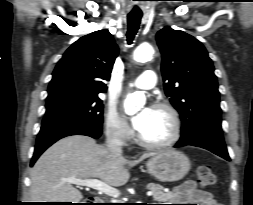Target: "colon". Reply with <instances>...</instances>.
<instances>
[{
	"label": "colon",
	"instance_id": "5ec220e1",
	"mask_svg": "<svg viewBox=\"0 0 253 205\" xmlns=\"http://www.w3.org/2000/svg\"><path fill=\"white\" fill-rule=\"evenodd\" d=\"M197 180L200 188L207 189L216 184L217 178L209 164H201L197 169Z\"/></svg>",
	"mask_w": 253,
	"mask_h": 205
}]
</instances>
